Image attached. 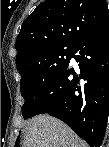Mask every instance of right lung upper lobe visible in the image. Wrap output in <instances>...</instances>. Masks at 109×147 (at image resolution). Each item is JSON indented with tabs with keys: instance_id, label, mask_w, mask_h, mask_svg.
Returning a JSON list of instances; mask_svg holds the SVG:
<instances>
[{
	"instance_id": "cb5924a9",
	"label": "right lung upper lobe",
	"mask_w": 109,
	"mask_h": 147,
	"mask_svg": "<svg viewBox=\"0 0 109 147\" xmlns=\"http://www.w3.org/2000/svg\"><path fill=\"white\" fill-rule=\"evenodd\" d=\"M109 20L105 0H47L24 20L16 40L21 68L46 49L71 48Z\"/></svg>"
}]
</instances>
